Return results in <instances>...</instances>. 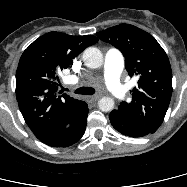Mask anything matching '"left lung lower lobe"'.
<instances>
[{
  "label": "left lung lower lobe",
  "instance_id": "0a47b994",
  "mask_svg": "<svg viewBox=\"0 0 187 187\" xmlns=\"http://www.w3.org/2000/svg\"><path fill=\"white\" fill-rule=\"evenodd\" d=\"M110 122L112 126L121 134L129 137H142L152 132L143 128L142 126L130 121L122 113L113 110L110 113Z\"/></svg>",
  "mask_w": 187,
  "mask_h": 187
}]
</instances>
